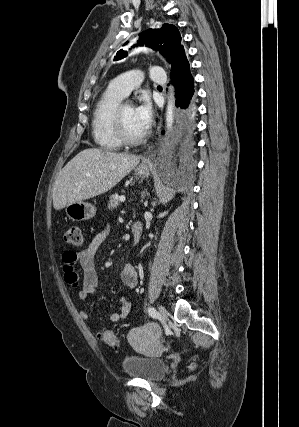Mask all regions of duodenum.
Wrapping results in <instances>:
<instances>
[{"mask_svg":"<svg viewBox=\"0 0 299 427\" xmlns=\"http://www.w3.org/2000/svg\"><path fill=\"white\" fill-rule=\"evenodd\" d=\"M131 230L133 234V241L135 244H138L141 240L142 224L140 222H133L131 224Z\"/></svg>","mask_w":299,"mask_h":427,"instance_id":"1","label":"duodenum"}]
</instances>
